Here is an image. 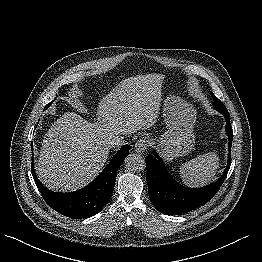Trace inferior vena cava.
Returning a JSON list of instances; mask_svg holds the SVG:
<instances>
[{
	"label": "inferior vena cava",
	"mask_w": 262,
	"mask_h": 262,
	"mask_svg": "<svg viewBox=\"0 0 262 262\" xmlns=\"http://www.w3.org/2000/svg\"><path fill=\"white\" fill-rule=\"evenodd\" d=\"M126 141L123 138H112L107 142L108 148L121 147Z\"/></svg>",
	"instance_id": "inferior-vena-cava-1"
}]
</instances>
